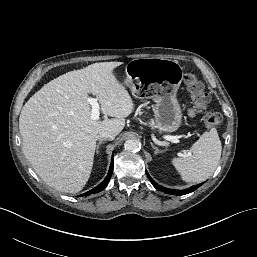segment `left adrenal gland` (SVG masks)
Segmentation results:
<instances>
[{"label": "left adrenal gland", "instance_id": "left-adrenal-gland-1", "mask_svg": "<svg viewBox=\"0 0 257 257\" xmlns=\"http://www.w3.org/2000/svg\"><path fill=\"white\" fill-rule=\"evenodd\" d=\"M151 146H152V148L155 150V154H156V155L163 152V151H160L156 146H154L153 143H151Z\"/></svg>", "mask_w": 257, "mask_h": 257}]
</instances>
